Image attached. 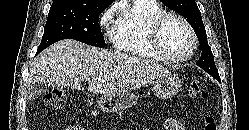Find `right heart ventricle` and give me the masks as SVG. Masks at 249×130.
<instances>
[{
    "label": "right heart ventricle",
    "mask_w": 249,
    "mask_h": 130,
    "mask_svg": "<svg viewBox=\"0 0 249 130\" xmlns=\"http://www.w3.org/2000/svg\"><path fill=\"white\" fill-rule=\"evenodd\" d=\"M165 9L156 0H133L124 8L111 32V40L120 52L131 56L160 58L153 50L149 29Z\"/></svg>",
    "instance_id": "right-heart-ventricle-1"
}]
</instances>
